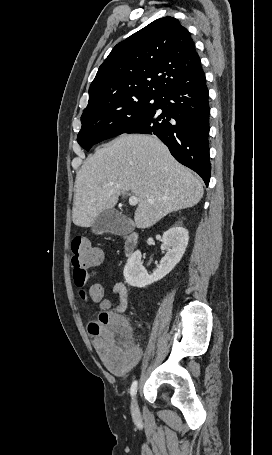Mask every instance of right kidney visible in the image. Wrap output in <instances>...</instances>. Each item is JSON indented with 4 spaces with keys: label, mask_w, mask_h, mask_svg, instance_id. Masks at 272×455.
Segmentation results:
<instances>
[{
    "label": "right kidney",
    "mask_w": 272,
    "mask_h": 455,
    "mask_svg": "<svg viewBox=\"0 0 272 455\" xmlns=\"http://www.w3.org/2000/svg\"><path fill=\"white\" fill-rule=\"evenodd\" d=\"M189 235L186 228L174 226L167 230L162 237L161 249L166 250L160 265L149 275L141 262L140 250L135 251L128 259L124 268V278L130 286L145 287L161 280L179 263L188 245Z\"/></svg>",
    "instance_id": "obj_1"
}]
</instances>
